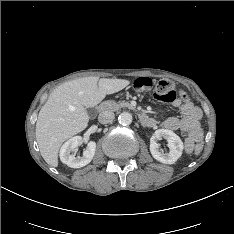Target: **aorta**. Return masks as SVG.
I'll list each match as a JSON object with an SVG mask.
<instances>
[{"instance_id": "1", "label": "aorta", "mask_w": 234, "mask_h": 234, "mask_svg": "<svg viewBox=\"0 0 234 234\" xmlns=\"http://www.w3.org/2000/svg\"><path fill=\"white\" fill-rule=\"evenodd\" d=\"M132 119V115L129 112H122L118 117L119 123L124 126L130 125Z\"/></svg>"}]
</instances>
